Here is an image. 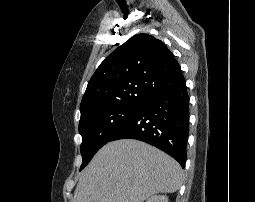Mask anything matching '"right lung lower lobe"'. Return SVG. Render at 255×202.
I'll list each match as a JSON object with an SVG mask.
<instances>
[{"label":"right lung lower lobe","instance_id":"obj_1","mask_svg":"<svg viewBox=\"0 0 255 202\" xmlns=\"http://www.w3.org/2000/svg\"><path fill=\"white\" fill-rule=\"evenodd\" d=\"M188 130L189 96L183 84L143 103L110 141L126 138L144 141L172 156L184 168Z\"/></svg>","mask_w":255,"mask_h":202}]
</instances>
